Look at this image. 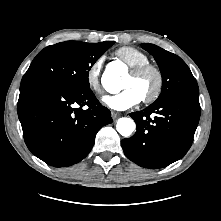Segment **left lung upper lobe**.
Masks as SVG:
<instances>
[{
  "instance_id": "5c2ea615",
  "label": "left lung upper lobe",
  "mask_w": 221,
  "mask_h": 221,
  "mask_svg": "<svg viewBox=\"0 0 221 221\" xmlns=\"http://www.w3.org/2000/svg\"><path fill=\"white\" fill-rule=\"evenodd\" d=\"M141 46L154 56L162 75V92L154 103L178 94L199 95L196 79L179 56L154 44L143 43Z\"/></svg>"
}]
</instances>
